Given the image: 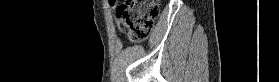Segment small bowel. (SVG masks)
I'll return each instance as SVG.
<instances>
[{"label": "small bowel", "instance_id": "c3829d8e", "mask_svg": "<svg viewBox=\"0 0 279 82\" xmlns=\"http://www.w3.org/2000/svg\"><path fill=\"white\" fill-rule=\"evenodd\" d=\"M109 7L111 8H116L117 7V2L116 1H109ZM116 24H117V28L120 32H122V28H121V25L118 21H116Z\"/></svg>", "mask_w": 279, "mask_h": 82}]
</instances>
